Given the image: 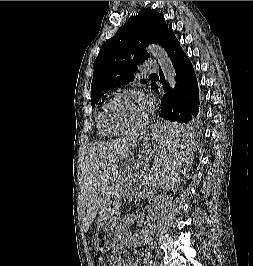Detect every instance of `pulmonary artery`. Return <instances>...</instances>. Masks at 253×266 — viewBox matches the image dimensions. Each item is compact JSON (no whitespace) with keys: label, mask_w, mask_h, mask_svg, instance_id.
Masks as SVG:
<instances>
[{"label":"pulmonary artery","mask_w":253,"mask_h":266,"mask_svg":"<svg viewBox=\"0 0 253 266\" xmlns=\"http://www.w3.org/2000/svg\"><path fill=\"white\" fill-rule=\"evenodd\" d=\"M144 69L147 71H155L157 70V67L152 62H146Z\"/></svg>","instance_id":"e3ab8cb5"}]
</instances>
